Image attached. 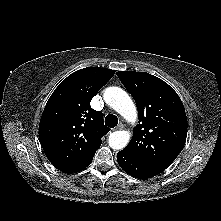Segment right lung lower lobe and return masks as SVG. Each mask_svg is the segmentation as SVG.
Instances as JSON below:
<instances>
[{"instance_id":"right-lung-lower-lobe-1","label":"right lung lower lobe","mask_w":221,"mask_h":221,"mask_svg":"<svg viewBox=\"0 0 221 221\" xmlns=\"http://www.w3.org/2000/svg\"><path fill=\"white\" fill-rule=\"evenodd\" d=\"M90 163H91V161L86 166H84L81 170L85 169ZM81 170H79V171H81Z\"/></svg>"}]
</instances>
